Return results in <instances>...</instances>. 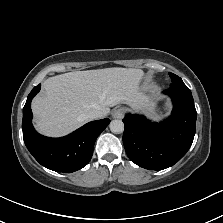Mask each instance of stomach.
Instances as JSON below:
<instances>
[{
  "label": "stomach",
  "mask_w": 223,
  "mask_h": 223,
  "mask_svg": "<svg viewBox=\"0 0 223 223\" xmlns=\"http://www.w3.org/2000/svg\"><path fill=\"white\" fill-rule=\"evenodd\" d=\"M153 108V98L149 97L146 101L141 103L135 110L142 116H145L151 112ZM126 112H130V110L126 107Z\"/></svg>",
  "instance_id": "stomach-1"
}]
</instances>
